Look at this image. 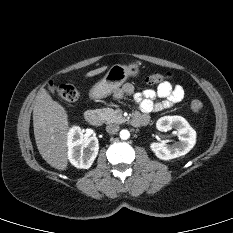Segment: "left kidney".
<instances>
[{
    "instance_id": "1",
    "label": "left kidney",
    "mask_w": 233,
    "mask_h": 233,
    "mask_svg": "<svg viewBox=\"0 0 233 233\" xmlns=\"http://www.w3.org/2000/svg\"><path fill=\"white\" fill-rule=\"evenodd\" d=\"M157 129L167 132L175 129L179 135V142L172 146L165 142L150 144L151 150L161 160H171L187 154L196 144V131L190 126L185 118L181 116H164L157 121Z\"/></svg>"
}]
</instances>
